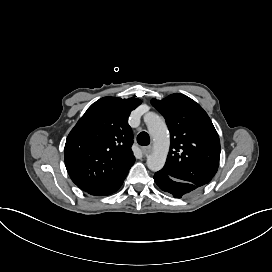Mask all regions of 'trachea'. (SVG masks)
<instances>
[{
  "instance_id": "3493384b",
  "label": "trachea",
  "mask_w": 272,
  "mask_h": 272,
  "mask_svg": "<svg viewBox=\"0 0 272 272\" xmlns=\"http://www.w3.org/2000/svg\"><path fill=\"white\" fill-rule=\"evenodd\" d=\"M137 142L142 146L149 145L150 144V137H149L148 133H146L144 131L139 133V135L137 136Z\"/></svg>"
}]
</instances>
